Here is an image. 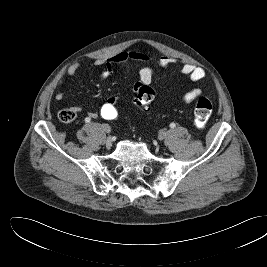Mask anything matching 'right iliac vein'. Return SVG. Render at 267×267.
I'll use <instances>...</instances> for the list:
<instances>
[{
  "instance_id": "right-iliac-vein-1",
  "label": "right iliac vein",
  "mask_w": 267,
  "mask_h": 267,
  "mask_svg": "<svg viewBox=\"0 0 267 267\" xmlns=\"http://www.w3.org/2000/svg\"><path fill=\"white\" fill-rule=\"evenodd\" d=\"M102 128H103V130H104L106 133H110V132H109V126H108V125H106V124H105V125H102ZM106 144H107L108 147L111 146V139H110V138H108Z\"/></svg>"
}]
</instances>
